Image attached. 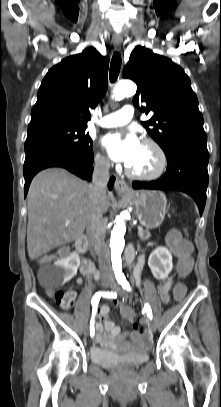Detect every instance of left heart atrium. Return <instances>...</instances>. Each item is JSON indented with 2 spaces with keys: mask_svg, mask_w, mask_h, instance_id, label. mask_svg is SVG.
I'll use <instances>...</instances> for the list:
<instances>
[{
  "mask_svg": "<svg viewBox=\"0 0 221 407\" xmlns=\"http://www.w3.org/2000/svg\"><path fill=\"white\" fill-rule=\"evenodd\" d=\"M102 144L112 159L127 164L135 158L141 145L132 132L109 134L103 138Z\"/></svg>",
  "mask_w": 221,
  "mask_h": 407,
  "instance_id": "left-heart-atrium-1",
  "label": "left heart atrium"
}]
</instances>
